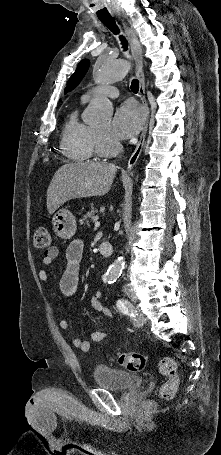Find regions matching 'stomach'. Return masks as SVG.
<instances>
[{
    "mask_svg": "<svg viewBox=\"0 0 221 455\" xmlns=\"http://www.w3.org/2000/svg\"><path fill=\"white\" fill-rule=\"evenodd\" d=\"M52 226L55 234L62 239H71L76 230V220L74 215L67 209L58 210L52 218Z\"/></svg>",
    "mask_w": 221,
    "mask_h": 455,
    "instance_id": "stomach-1",
    "label": "stomach"
}]
</instances>
